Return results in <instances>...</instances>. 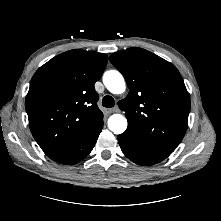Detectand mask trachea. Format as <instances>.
Listing matches in <instances>:
<instances>
[{"label":"trachea","instance_id":"1","mask_svg":"<svg viewBox=\"0 0 221 221\" xmlns=\"http://www.w3.org/2000/svg\"><path fill=\"white\" fill-rule=\"evenodd\" d=\"M102 105L106 108H111L115 105V101H114L113 97L107 95L103 98Z\"/></svg>","mask_w":221,"mask_h":221}]
</instances>
